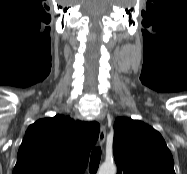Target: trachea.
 <instances>
[{"mask_svg": "<svg viewBox=\"0 0 187 174\" xmlns=\"http://www.w3.org/2000/svg\"><path fill=\"white\" fill-rule=\"evenodd\" d=\"M100 159H101V148L95 147L92 150L91 158H90V165H89L90 174H96L99 167Z\"/></svg>", "mask_w": 187, "mask_h": 174, "instance_id": "obj_1", "label": "trachea"}]
</instances>
